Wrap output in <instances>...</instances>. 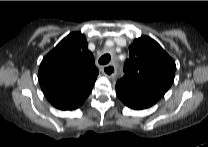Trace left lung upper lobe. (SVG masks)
Instances as JSON below:
<instances>
[{"mask_svg": "<svg viewBox=\"0 0 208 147\" xmlns=\"http://www.w3.org/2000/svg\"><path fill=\"white\" fill-rule=\"evenodd\" d=\"M175 68L174 60L156 41L142 36L129 46L125 75L117 83L160 99L174 80Z\"/></svg>", "mask_w": 208, "mask_h": 147, "instance_id": "5c2ea615", "label": "left lung upper lobe"}]
</instances>
